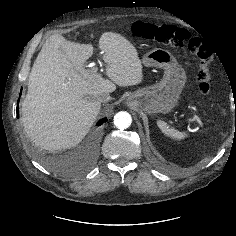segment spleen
Masks as SVG:
<instances>
[{"mask_svg": "<svg viewBox=\"0 0 236 236\" xmlns=\"http://www.w3.org/2000/svg\"><path fill=\"white\" fill-rule=\"evenodd\" d=\"M157 125L166 136L172 139L182 140L188 136L186 132H180L172 127H169L167 123L162 120H158Z\"/></svg>", "mask_w": 236, "mask_h": 236, "instance_id": "obj_1", "label": "spleen"}]
</instances>
